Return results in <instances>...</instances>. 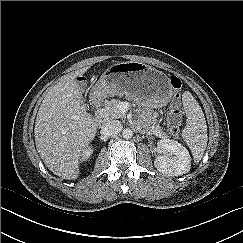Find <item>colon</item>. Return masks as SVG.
<instances>
[{
	"label": "colon",
	"mask_w": 243,
	"mask_h": 243,
	"mask_svg": "<svg viewBox=\"0 0 243 243\" xmlns=\"http://www.w3.org/2000/svg\"><path fill=\"white\" fill-rule=\"evenodd\" d=\"M170 85L175 91L169 114L167 117L168 130L172 135H178L182 123V112L180 107V93L182 88V81L177 76L170 78Z\"/></svg>",
	"instance_id": "colon-1"
}]
</instances>
